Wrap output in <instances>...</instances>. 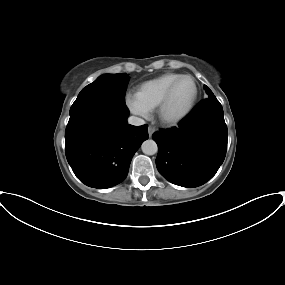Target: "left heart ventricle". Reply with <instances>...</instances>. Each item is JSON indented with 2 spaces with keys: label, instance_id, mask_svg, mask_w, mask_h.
I'll return each mask as SVG.
<instances>
[{
  "label": "left heart ventricle",
  "instance_id": "1",
  "mask_svg": "<svg viewBox=\"0 0 285 285\" xmlns=\"http://www.w3.org/2000/svg\"><path fill=\"white\" fill-rule=\"evenodd\" d=\"M194 84L191 79H182L175 87L166 108V114L174 117L181 114L190 105L194 96Z\"/></svg>",
  "mask_w": 285,
  "mask_h": 285
}]
</instances>
